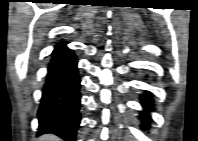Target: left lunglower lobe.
<instances>
[{
    "label": "left lung lower lobe",
    "instance_id": "0a47b994",
    "mask_svg": "<svg viewBox=\"0 0 198 141\" xmlns=\"http://www.w3.org/2000/svg\"><path fill=\"white\" fill-rule=\"evenodd\" d=\"M144 96H141V99L143 100L141 104L144 107V111L140 113V115L142 116V120H143L141 127L147 130L150 127L149 111H151L150 106L153 105V99L151 98L152 94L150 92H146Z\"/></svg>",
    "mask_w": 198,
    "mask_h": 141
}]
</instances>
